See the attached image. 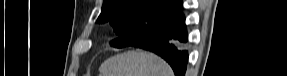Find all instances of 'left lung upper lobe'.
<instances>
[{
    "instance_id": "obj_1",
    "label": "left lung upper lobe",
    "mask_w": 287,
    "mask_h": 76,
    "mask_svg": "<svg viewBox=\"0 0 287 76\" xmlns=\"http://www.w3.org/2000/svg\"><path fill=\"white\" fill-rule=\"evenodd\" d=\"M181 8V0H104L97 22H110L118 35L111 45L121 48L141 38Z\"/></svg>"
}]
</instances>
